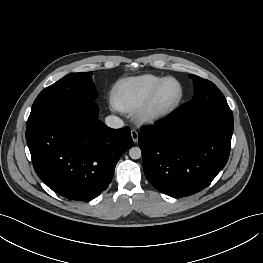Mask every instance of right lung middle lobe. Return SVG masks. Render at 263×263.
I'll return each mask as SVG.
<instances>
[{
  "instance_id": "1",
  "label": "right lung middle lobe",
  "mask_w": 263,
  "mask_h": 263,
  "mask_svg": "<svg viewBox=\"0 0 263 263\" xmlns=\"http://www.w3.org/2000/svg\"><path fill=\"white\" fill-rule=\"evenodd\" d=\"M91 74L92 72L69 74L42 90L32 105L26 129L61 109L76 113L84 107L86 100H94L97 93Z\"/></svg>"
}]
</instances>
